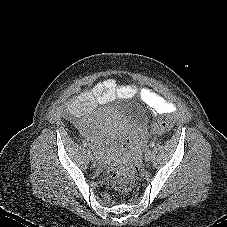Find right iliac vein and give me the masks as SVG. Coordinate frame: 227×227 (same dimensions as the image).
Here are the masks:
<instances>
[{"mask_svg": "<svg viewBox=\"0 0 227 227\" xmlns=\"http://www.w3.org/2000/svg\"><path fill=\"white\" fill-rule=\"evenodd\" d=\"M87 154H88V156H89V158H90L91 160H94V156H93V154L91 153L90 150L87 151Z\"/></svg>", "mask_w": 227, "mask_h": 227, "instance_id": "1", "label": "right iliac vein"}]
</instances>
